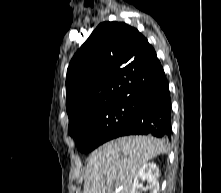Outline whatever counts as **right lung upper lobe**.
<instances>
[{"instance_id":"cb5924a9","label":"right lung upper lobe","mask_w":221,"mask_h":193,"mask_svg":"<svg viewBox=\"0 0 221 193\" xmlns=\"http://www.w3.org/2000/svg\"><path fill=\"white\" fill-rule=\"evenodd\" d=\"M161 68L154 48L136 28L123 22L98 25L67 70L69 132L115 101L139 99Z\"/></svg>"}]
</instances>
